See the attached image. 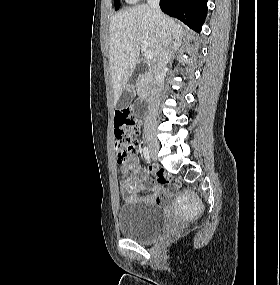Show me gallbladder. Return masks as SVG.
I'll return each instance as SVG.
<instances>
[{"instance_id": "1", "label": "gallbladder", "mask_w": 280, "mask_h": 285, "mask_svg": "<svg viewBox=\"0 0 280 285\" xmlns=\"http://www.w3.org/2000/svg\"><path fill=\"white\" fill-rule=\"evenodd\" d=\"M134 95L135 92L132 88H125L116 103V108L121 110L127 107L132 102Z\"/></svg>"}]
</instances>
